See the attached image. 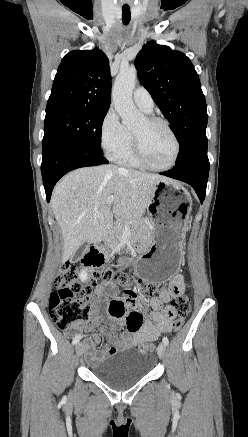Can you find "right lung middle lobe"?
<instances>
[{"label":"right lung middle lobe","mask_w":248,"mask_h":437,"mask_svg":"<svg viewBox=\"0 0 248 437\" xmlns=\"http://www.w3.org/2000/svg\"><path fill=\"white\" fill-rule=\"evenodd\" d=\"M107 111L65 101L48 102L42 147L65 141L102 153L101 130Z\"/></svg>","instance_id":"obj_1"}]
</instances>
